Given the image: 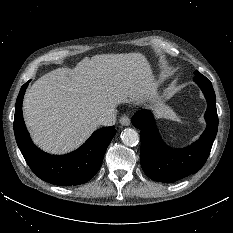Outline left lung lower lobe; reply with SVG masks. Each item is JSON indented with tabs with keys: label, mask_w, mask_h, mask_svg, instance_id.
<instances>
[{
	"label": "left lung lower lobe",
	"mask_w": 233,
	"mask_h": 233,
	"mask_svg": "<svg viewBox=\"0 0 233 233\" xmlns=\"http://www.w3.org/2000/svg\"><path fill=\"white\" fill-rule=\"evenodd\" d=\"M207 100V127L200 139L183 149L164 144L150 111L140 110L132 123L140 129V161L145 174L152 180L173 183L199 171L206 162L218 130L216 97L209 80L196 82Z\"/></svg>",
	"instance_id": "obj_1"
}]
</instances>
